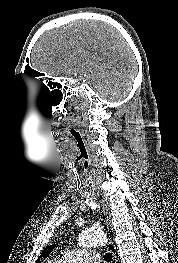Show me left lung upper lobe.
Wrapping results in <instances>:
<instances>
[{
    "label": "left lung upper lobe",
    "mask_w": 178,
    "mask_h": 263,
    "mask_svg": "<svg viewBox=\"0 0 178 263\" xmlns=\"http://www.w3.org/2000/svg\"><path fill=\"white\" fill-rule=\"evenodd\" d=\"M55 245H50V246H47L41 253L40 257L38 258V260L36 261V263H39L40 261V258H46L49 256V254L53 251Z\"/></svg>",
    "instance_id": "5c2ea615"
}]
</instances>
